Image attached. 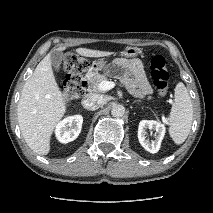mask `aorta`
Wrapping results in <instances>:
<instances>
[{"instance_id":"aorta-1","label":"aorta","mask_w":213,"mask_h":213,"mask_svg":"<svg viewBox=\"0 0 213 213\" xmlns=\"http://www.w3.org/2000/svg\"><path fill=\"white\" fill-rule=\"evenodd\" d=\"M125 113V107L117 104L112 108L111 114L113 117H122Z\"/></svg>"}]
</instances>
